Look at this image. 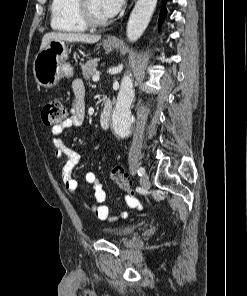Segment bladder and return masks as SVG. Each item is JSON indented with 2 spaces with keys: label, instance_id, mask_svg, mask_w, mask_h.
<instances>
[{
  "label": "bladder",
  "instance_id": "1",
  "mask_svg": "<svg viewBox=\"0 0 247 296\" xmlns=\"http://www.w3.org/2000/svg\"><path fill=\"white\" fill-rule=\"evenodd\" d=\"M136 228L137 224H130L125 226L104 228L103 231L107 232L113 237H124L133 232Z\"/></svg>",
  "mask_w": 247,
  "mask_h": 296
}]
</instances>
